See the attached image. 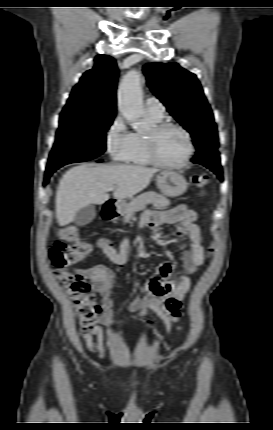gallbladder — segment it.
<instances>
[{
	"label": "gallbladder",
	"instance_id": "bac80fb5",
	"mask_svg": "<svg viewBox=\"0 0 273 430\" xmlns=\"http://www.w3.org/2000/svg\"><path fill=\"white\" fill-rule=\"evenodd\" d=\"M95 216L96 210L94 205H88L77 212L74 222L78 226H85L89 224L95 218Z\"/></svg>",
	"mask_w": 273,
	"mask_h": 430
}]
</instances>
